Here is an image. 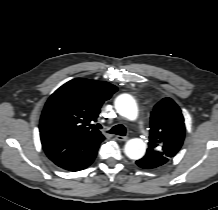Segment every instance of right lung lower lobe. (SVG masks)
Returning a JSON list of instances; mask_svg holds the SVG:
<instances>
[{
	"label": "right lung lower lobe",
	"mask_w": 218,
	"mask_h": 210,
	"mask_svg": "<svg viewBox=\"0 0 218 210\" xmlns=\"http://www.w3.org/2000/svg\"><path fill=\"white\" fill-rule=\"evenodd\" d=\"M41 143L48 158L62 169L79 171L94 161L104 136L79 137L59 131H40Z\"/></svg>",
	"instance_id": "obj_1"
}]
</instances>
